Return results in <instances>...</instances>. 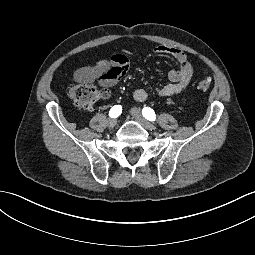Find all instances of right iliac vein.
<instances>
[{
	"label": "right iliac vein",
	"instance_id": "right-iliac-vein-1",
	"mask_svg": "<svg viewBox=\"0 0 255 255\" xmlns=\"http://www.w3.org/2000/svg\"><path fill=\"white\" fill-rule=\"evenodd\" d=\"M116 124H117L116 119H109V120L107 121V126H108L109 128H114V127L116 126Z\"/></svg>",
	"mask_w": 255,
	"mask_h": 255
}]
</instances>
